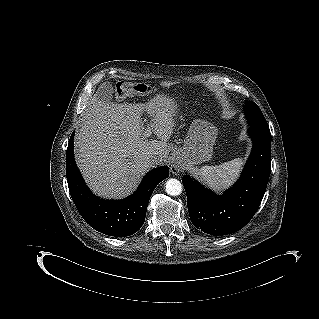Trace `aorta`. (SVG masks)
<instances>
[{"mask_svg":"<svg viewBox=\"0 0 319 319\" xmlns=\"http://www.w3.org/2000/svg\"><path fill=\"white\" fill-rule=\"evenodd\" d=\"M165 188L167 194L171 196H178L182 193L183 190L180 181L174 178L167 180Z\"/></svg>","mask_w":319,"mask_h":319,"instance_id":"762f6f07","label":"aorta"}]
</instances>
